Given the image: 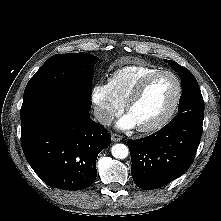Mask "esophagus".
I'll return each mask as SVG.
<instances>
[{
  "label": "esophagus",
  "instance_id": "34e87169",
  "mask_svg": "<svg viewBox=\"0 0 221 221\" xmlns=\"http://www.w3.org/2000/svg\"><path fill=\"white\" fill-rule=\"evenodd\" d=\"M122 136L121 135H118V134H112V140L114 141V142H119V141H121L122 140Z\"/></svg>",
  "mask_w": 221,
  "mask_h": 221
}]
</instances>
